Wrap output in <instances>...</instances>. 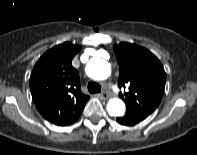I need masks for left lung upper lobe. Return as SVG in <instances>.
Masks as SVG:
<instances>
[{
  "mask_svg": "<svg viewBox=\"0 0 197 155\" xmlns=\"http://www.w3.org/2000/svg\"><path fill=\"white\" fill-rule=\"evenodd\" d=\"M114 52L120 68L118 85L129 89L119 94L126 103V115L142 121L157 108L163 97L164 68L154 54L135 44L120 43L114 46Z\"/></svg>",
  "mask_w": 197,
  "mask_h": 155,
  "instance_id": "1",
  "label": "left lung upper lobe"
}]
</instances>
